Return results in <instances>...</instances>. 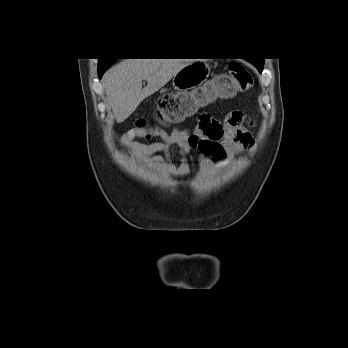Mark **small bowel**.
I'll use <instances>...</instances> for the list:
<instances>
[{
	"label": "small bowel",
	"mask_w": 348,
	"mask_h": 348,
	"mask_svg": "<svg viewBox=\"0 0 348 348\" xmlns=\"http://www.w3.org/2000/svg\"><path fill=\"white\" fill-rule=\"evenodd\" d=\"M251 123L242 111H230L223 123H216L209 114H201L198 125L192 131L176 128L171 133L156 132L160 142L128 146L136 160L150 167L161 166L166 172L177 177L185 176L190 171L188 155L198 151V164L203 173L212 166L222 165L228 152L240 154L243 148L253 144L249 129ZM171 147H177L180 162L174 165L166 162Z\"/></svg>",
	"instance_id": "c3829d8e"
}]
</instances>
